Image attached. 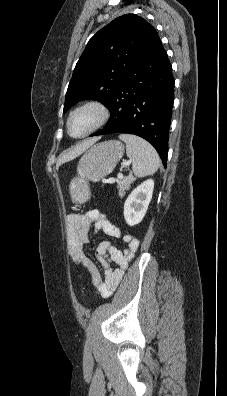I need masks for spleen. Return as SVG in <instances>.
I'll use <instances>...</instances> for the list:
<instances>
[{"label":"spleen","instance_id":"obj_1","mask_svg":"<svg viewBox=\"0 0 227 396\" xmlns=\"http://www.w3.org/2000/svg\"><path fill=\"white\" fill-rule=\"evenodd\" d=\"M119 139L126 143V154L132 160L135 176H149L158 170L160 158L151 144L131 134H121Z\"/></svg>","mask_w":227,"mask_h":396}]
</instances>
